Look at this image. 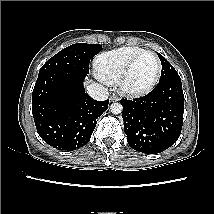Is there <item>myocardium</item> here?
Instances as JSON below:
<instances>
[{
  "label": "myocardium",
  "instance_id": "1",
  "mask_svg": "<svg viewBox=\"0 0 214 214\" xmlns=\"http://www.w3.org/2000/svg\"><path fill=\"white\" fill-rule=\"evenodd\" d=\"M146 54L152 55L157 62V71L154 79L145 87L142 88H132L128 85V80L131 75V72L135 66V64L139 61L141 57H143ZM162 73V63L158 55L150 50H144L141 53L137 54L134 58L131 59V61L127 64L124 71L122 72L119 80H118V86L119 90L122 94L132 97H139L148 94L151 92L155 86L158 84L160 77Z\"/></svg>",
  "mask_w": 214,
  "mask_h": 214
}]
</instances>
